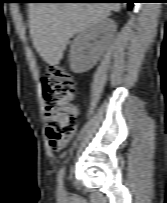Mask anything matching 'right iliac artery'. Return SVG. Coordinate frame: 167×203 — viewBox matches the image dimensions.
<instances>
[{
  "mask_svg": "<svg viewBox=\"0 0 167 203\" xmlns=\"http://www.w3.org/2000/svg\"><path fill=\"white\" fill-rule=\"evenodd\" d=\"M63 176H64V168H62L58 174L57 182H58V189L61 197L64 195L63 193Z\"/></svg>",
  "mask_w": 167,
  "mask_h": 203,
  "instance_id": "obj_1",
  "label": "right iliac artery"
}]
</instances>
